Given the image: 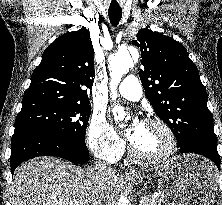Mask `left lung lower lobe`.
<instances>
[{
  "instance_id": "0a47b994",
  "label": "left lung lower lobe",
  "mask_w": 222,
  "mask_h": 205,
  "mask_svg": "<svg viewBox=\"0 0 222 205\" xmlns=\"http://www.w3.org/2000/svg\"><path fill=\"white\" fill-rule=\"evenodd\" d=\"M180 153H196L210 159L220 170V158L217 144L201 138L192 139L179 147Z\"/></svg>"
}]
</instances>
